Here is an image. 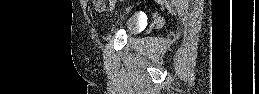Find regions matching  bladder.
Listing matches in <instances>:
<instances>
[{
	"instance_id": "bladder-1",
	"label": "bladder",
	"mask_w": 259,
	"mask_h": 94,
	"mask_svg": "<svg viewBox=\"0 0 259 94\" xmlns=\"http://www.w3.org/2000/svg\"><path fill=\"white\" fill-rule=\"evenodd\" d=\"M121 27L128 36L136 35L140 31V20L135 14L127 15L122 19Z\"/></svg>"
}]
</instances>
